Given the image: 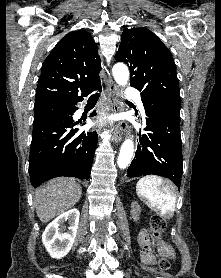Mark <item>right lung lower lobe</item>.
Wrapping results in <instances>:
<instances>
[{"label": "right lung lower lobe", "instance_id": "98d812e1", "mask_svg": "<svg viewBox=\"0 0 221 278\" xmlns=\"http://www.w3.org/2000/svg\"><path fill=\"white\" fill-rule=\"evenodd\" d=\"M94 90L101 91V85ZM90 92L60 101L67 112L33 124L29 175L34 188L57 176L88 180L98 136L95 131L78 132L74 128L78 122L73 121L72 115L78 109L76 104ZM94 115L95 111L90 114Z\"/></svg>", "mask_w": 221, "mask_h": 278}]
</instances>
